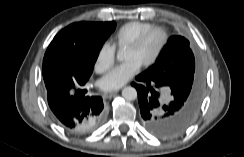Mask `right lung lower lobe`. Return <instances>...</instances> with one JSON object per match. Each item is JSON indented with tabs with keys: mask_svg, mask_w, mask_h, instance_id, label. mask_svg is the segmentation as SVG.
<instances>
[{
	"mask_svg": "<svg viewBox=\"0 0 244 157\" xmlns=\"http://www.w3.org/2000/svg\"><path fill=\"white\" fill-rule=\"evenodd\" d=\"M85 83H70L47 96L58 124L70 133L90 132L100 125L105 116L102 98L88 96L87 90L82 88Z\"/></svg>",
	"mask_w": 244,
	"mask_h": 157,
	"instance_id": "right-lung-lower-lobe-1",
	"label": "right lung lower lobe"
}]
</instances>
